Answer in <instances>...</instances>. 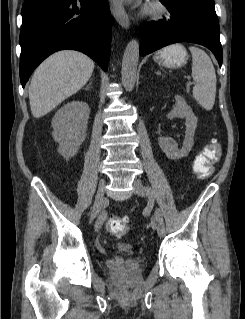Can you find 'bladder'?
Listing matches in <instances>:
<instances>
[{
  "label": "bladder",
  "mask_w": 245,
  "mask_h": 319,
  "mask_svg": "<svg viewBox=\"0 0 245 319\" xmlns=\"http://www.w3.org/2000/svg\"><path fill=\"white\" fill-rule=\"evenodd\" d=\"M119 250H120L121 252L131 254V253H133L134 248H133V246L130 245V244H122V245L119 246Z\"/></svg>",
  "instance_id": "1"
}]
</instances>
